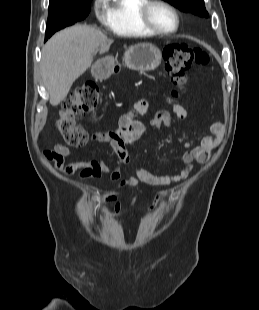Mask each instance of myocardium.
Masks as SVG:
<instances>
[{
    "label": "myocardium",
    "instance_id": "myocardium-1",
    "mask_svg": "<svg viewBox=\"0 0 259 310\" xmlns=\"http://www.w3.org/2000/svg\"><path fill=\"white\" fill-rule=\"evenodd\" d=\"M155 5L163 6L172 12V14L174 15L175 20H176V25L173 29L163 30V29L158 28L156 25H154V23L151 21V18H150V11H151L152 7ZM139 19H140L141 24L147 30H149L150 32H152L155 35H161V36L171 35V34L177 32L179 27H180V23H181L178 10L173 5H171L170 3H168L164 0H147L141 6V8L139 10Z\"/></svg>",
    "mask_w": 259,
    "mask_h": 310
}]
</instances>
